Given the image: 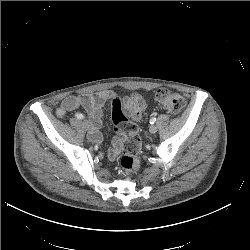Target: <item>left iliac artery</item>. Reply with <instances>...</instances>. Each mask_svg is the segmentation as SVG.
<instances>
[{
  "instance_id": "44dca946",
  "label": "left iliac artery",
  "mask_w": 250,
  "mask_h": 250,
  "mask_svg": "<svg viewBox=\"0 0 250 250\" xmlns=\"http://www.w3.org/2000/svg\"><path fill=\"white\" fill-rule=\"evenodd\" d=\"M156 122V118L155 117H152L151 119H150V124H154Z\"/></svg>"
}]
</instances>
